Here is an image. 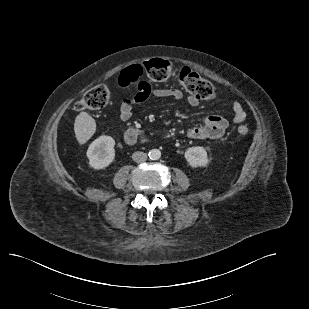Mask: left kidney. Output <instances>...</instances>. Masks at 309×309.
Masks as SVG:
<instances>
[{
  "label": "left kidney",
  "mask_w": 309,
  "mask_h": 309,
  "mask_svg": "<svg viewBox=\"0 0 309 309\" xmlns=\"http://www.w3.org/2000/svg\"><path fill=\"white\" fill-rule=\"evenodd\" d=\"M185 159L188 164L193 167H205L209 160L206 150L201 146L190 147L185 151Z\"/></svg>",
  "instance_id": "left-kidney-1"
}]
</instances>
